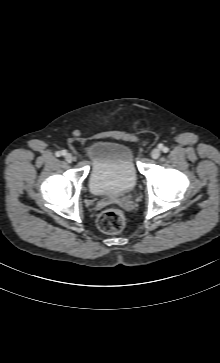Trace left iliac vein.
I'll return each instance as SVG.
<instances>
[{"mask_svg":"<svg viewBox=\"0 0 220 363\" xmlns=\"http://www.w3.org/2000/svg\"><path fill=\"white\" fill-rule=\"evenodd\" d=\"M160 154H161L160 150L158 148H155L151 152V157L153 159H157V158H159Z\"/></svg>","mask_w":220,"mask_h":363,"instance_id":"left-iliac-vein-1","label":"left iliac vein"}]
</instances>
